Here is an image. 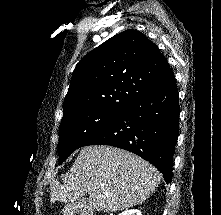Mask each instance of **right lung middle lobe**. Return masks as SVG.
<instances>
[{
	"label": "right lung middle lobe",
	"mask_w": 221,
	"mask_h": 215,
	"mask_svg": "<svg viewBox=\"0 0 221 215\" xmlns=\"http://www.w3.org/2000/svg\"><path fill=\"white\" fill-rule=\"evenodd\" d=\"M120 112L88 109L64 116L59 126V164L64 162L84 142L114 122Z\"/></svg>",
	"instance_id": "dd1d6c3e"
}]
</instances>
